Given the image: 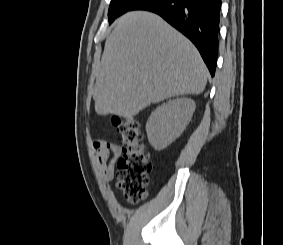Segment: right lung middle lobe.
Wrapping results in <instances>:
<instances>
[{
    "mask_svg": "<svg viewBox=\"0 0 283 245\" xmlns=\"http://www.w3.org/2000/svg\"><path fill=\"white\" fill-rule=\"evenodd\" d=\"M142 0H111L108 18L111 24L115 18L131 10L136 4Z\"/></svg>",
    "mask_w": 283,
    "mask_h": 245,
    "instance_id": "dd1d6c3e",
    "label": "right lung middle lobe"
}]
</instances>
